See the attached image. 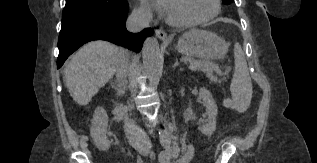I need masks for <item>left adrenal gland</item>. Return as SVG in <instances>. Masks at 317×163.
I'll return each mask as SVG.
<instances>
[{
  "mask_svg": "<svg viewBox=\"0 0 317 163\" xmlns=\"http://www.w3.org/2000/svg\"><path fill=\"white\" fill-rule=\"evenodd\" d=\"M176 66H179V61H178V59H176V61H175L174 65H173V67H176Z\"/></svg>",
  "mask_w": 317,
  "mask_h": 163,
  "instance_id": "obj_1",
  "label": "left adrenal gland"
}]
</instances>
